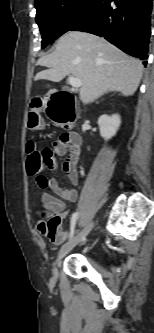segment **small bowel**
Segmentation results:
<instances>
[{"label":"small bowel","instance_id":"small-bowel-1","mask_svg":"<svg viewBox=\"0 0 154 333\" xmlns=\"http://www.w3.org/2000/svg\"><path fill=\"white\" fill-rule=\"evenodd\" d=\"M81 137L77 133L65 132L51 147H46L41 151L43 164L50 170L57 169L55 156H66L63 170L74 186L66 188L54 177L38 175L36 182L40 188L48 190L42 193L41 200L44 206L52 213L58 214L62 218L66 214L65 202H75L78 198V191L75 186L79 183V173L77 162L80 154ZM61 238L55 243H61L67 236V232L60 231Z\"/></svg>","mask_w":154,"mask_h":333}]
</instances>
